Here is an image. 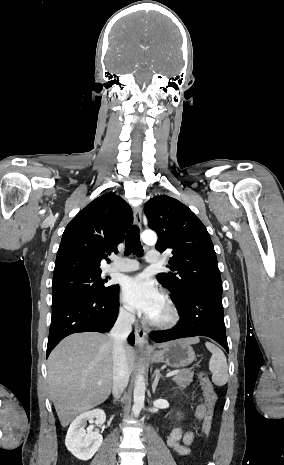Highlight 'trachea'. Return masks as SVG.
<instances>
[{"instance_id":"3493384b","label":"trachea","mask_w":284,"mask_h":465,"mask_svg":"<svg viewBox=\"0 0 284 465\" xmlns=\"http://www.w3.org/2000/svg\"><path fill=\"white\" fill-rule=\"evenodd\" d=\"M134 252L138 257L143 255V247L139 239V228L133 225L126 234L125 240V255H130Z\"/></svg>"}]
</instances>
